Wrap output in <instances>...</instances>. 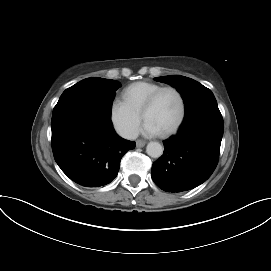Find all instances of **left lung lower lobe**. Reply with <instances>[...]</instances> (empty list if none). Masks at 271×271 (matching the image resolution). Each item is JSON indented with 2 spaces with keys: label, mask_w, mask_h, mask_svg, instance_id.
<instances>
[{
  "label": "left lung lower lobe",
  "mask_w": 271,
  "mask_h": 271,
  "mask_svg": "<svg viewBox=\"0 0 271 271\" xmlns=\"http://www.w3.org/2000/svg\"><path fill=\"white\" fill-rule=\"evenodd\" d=\"M222 136L219 109L185 119L178 134L164 141V154L153 163L155 184L166 192H182L205 182L217 166Z\"/></svg>",
  "instance_id": "0a47b994"
}]
</instances>
